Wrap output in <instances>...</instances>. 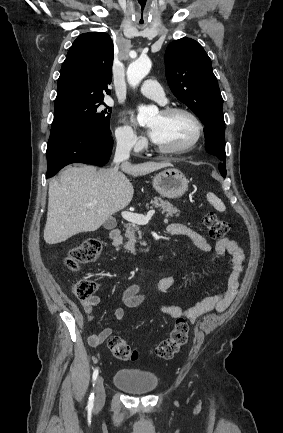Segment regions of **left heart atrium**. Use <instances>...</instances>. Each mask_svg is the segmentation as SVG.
Listing matches in <instances>:
<instances>
[{"label": "left heart atrium", "instance_id": "left-heart-atrium-1", "mask_svg": "<svg viewBox=\"0 0 283 433\" xmlns=\"http://www.w3.org/2000/svg\"><path fill=\"white\" fill-rule=\"evenodd\" d=\"M149 135H150L151 141L153 143L157 144L158 143V134H157V132L154 131V130H150Z\"/></svg>", "mask_w": 283, "mask_h": 433}]
</instances>
